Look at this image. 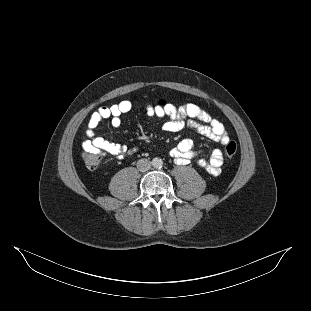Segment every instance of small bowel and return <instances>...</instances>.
<instances>
[{"instance_id":"c3829d8e","label":"small bowel","mask_w":311,"mask_h":311,"mask_svg":"<svg viewBox=\"0 0 311 311\" xmlns=\"http://www.w3.org/2000/svg\"><path fill=\"white\" fill-rule=\"evenodd\" d=\"M134 104L129 100H123L110 106H102L94 111L88 120L85 131L86 139L82 143L84 150L105 151L118 158H122L129 150L125 145L111 142L103 137L95 135V129L105 119H110L114 127L121 124V116L128 113ZM147 114L159 118H167L163 124V130L177 132L189 126L201 135L212 141L225 145L229 142V136L224 125L212 115L204 111L196 104H186L175 108L171 104L165 106L148 107ZM193 150V142L190 139L182 140L170 151V155L178 164H187L196 156ZM223 153L220 148H215L209 159H198L197 164L208 173L217 175L223 166Z\"/></svg>"}]
</instances>
